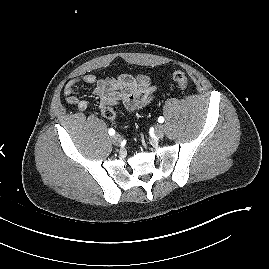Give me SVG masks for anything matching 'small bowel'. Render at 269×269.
<instances>
[{
  "instance_id": "1",
  "label": "small bowel",
  "mask_w": 269,
  "mask_h": 269,
  "mask_svg": "<svg viewBox=\"0 0 269 269\" xmlns=\"http://www.w3.org/2000/svg\"><path fill=\"white\" fill-rule=\"evenodd\" d=\"M94 85V94L100 100L102 114L111 119L107 113L117 105L123 106L129 112H135L145 107L152 99L156 86L149 77L143 74H122L116 78L97 79L93 74H86L69 80L63 90L65 101L76 106L80 111L89 107V103L74 95L78 84Z\"/></svg>"
}]
</instances>
